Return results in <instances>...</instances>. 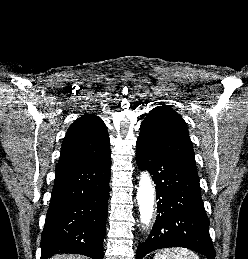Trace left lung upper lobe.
<instances>
[{
	"label": "left lung upper lobe",
	"mask_w": 248,
	"mask_h": 259,
	"mask_svg": "<svg viewBox=\"0 0 248 259\" xmlns=\"http://www.w3.org/2000/svg\"><path fill=\"white\" fill-rule=\"evenodd\" d=\"M138 141L198 177L187 125L170 106H157L150 111L141 124Z\"/></svg>",
	"instance_id": "obj_1"
}]
</instances>
